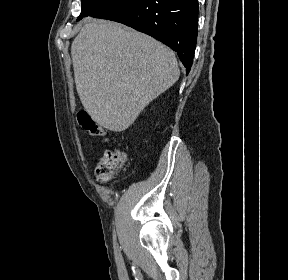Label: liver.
<instances>
[{"label":"liver","instance_id":"liver-1","mask_svg":"<svg viewBox=\"0 0 288 280\" xmlns=\"http://www.w3.org/2000/svg\"><path fill=\"white\" fill-rule=\"evenodd\" d=\"M71 56L84 108L111 131L126 130L180 75L172 50L111 21L88 19L72 42Z\"/></svg>","mask_w":288,"mask_h":280}]
</instances>
